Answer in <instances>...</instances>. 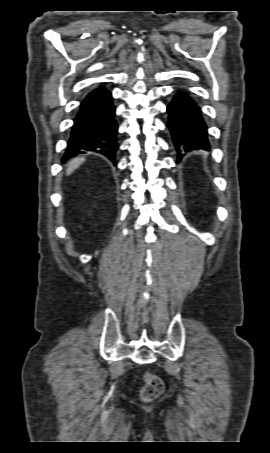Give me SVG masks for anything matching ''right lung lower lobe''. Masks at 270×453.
Masks as SVG:
<instances>
[{
  "mask_svg": "<svg viewBox=\"0 0 270 453\" xmlns=\"http://www.w3.org/2000/svg\"><path fill=\"white\" fill-rule=\"evenodd\" d=\"M111 92L104 87L92 90L80 104L62 162L78 154L101 153L114 164L118 126Z\"/></svg>",
  "mask_w": 270,
  "mask_h": 453,
  "instance_id": "1",
  "label": "right lung lower lobe"
}]
</instances>
